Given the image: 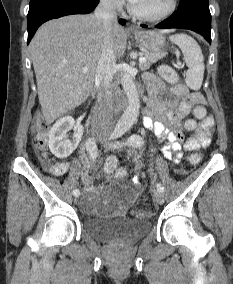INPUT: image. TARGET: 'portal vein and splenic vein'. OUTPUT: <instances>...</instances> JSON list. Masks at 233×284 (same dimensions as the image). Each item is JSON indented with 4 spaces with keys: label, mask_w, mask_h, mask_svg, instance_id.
I'll return each instance as SVG.
<instances>
[{
    "label": "portal vein and splenic vein",
    "mask_w": 233,
    "mask_h": 284,
    "mask_svg": "<svg viewBox=\"0 0 233 284\" xmlns=\"http://www.w3.org/2000/svg\"><path fill=\"white\" fill-rule=\"evenodd\" d=\"M145 61H146L145 57H140V58H139V62H140V63H143V62H145ZM87 70H88L87 67H83V68H82V72H83V73H86Z\"/></svg>",
    "instance_id": "18ae733b"
}]
</instances>
